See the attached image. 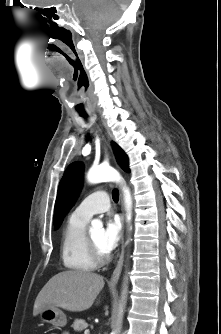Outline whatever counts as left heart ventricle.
I'll return each mask as SVG.
<instances>
[{
    "label": "left heart ventricle",
    "instance_id": "1",
    "mask_svg": "<svg viewBox=\"0 0 221 334\" xmlns=\"http://www.w3.org/2000/svg\"><path fill=\"white\" fill-rule=\"evenodd\" d=\"M102 235H103V231L101 230H95L92 233H90V236L92 238V240L95 242V244L98 246V248L105 252L102 248Z\"/></svg>",
    "mask_w": 221,
    "mask_h": 334
}]
</instances>
